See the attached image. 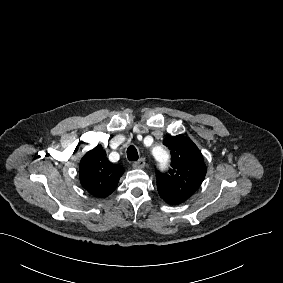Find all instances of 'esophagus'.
<instances>
[{
    "label": "esophagus",
    "instance_id": "esophagus-1",
    "mask_svg": "<svg viewBox=\"0 0 283 283\" xmlns=\"http://www.w3.org/2000/svg\"><path fill=\"white\" fill-rule=\"evenodd\" d=\"M146 161L144 158H140L138 161H135L132 166L134 169H142L144 168Z\"/></svg>",
    "mask_w": 283,
    "mask_h": 283
}]
</instances>
